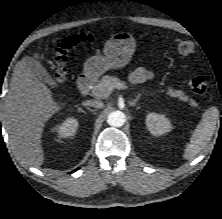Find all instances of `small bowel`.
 I'll return each mask as SVG.
<instances>
[{"instance_id":"c3829d8e","label":"small bowel","mask_w":222,"mask_h":219,"mask_svg":"<svg viewBox=\"0 0 222 219\" xmlns=\"http://www.w3.org/2000/svg\"><path fill=\"white\" fill-rule=\"evenodd\" d=\"M152 77V72L143 67H139L131 73L130 80L133 83H143L151 79Z\"/></svg>"}]
</instances>
